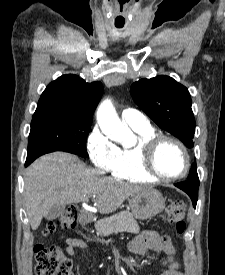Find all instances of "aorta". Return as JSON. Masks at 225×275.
<instances>
[{
    "label": "aorta",
    "instance_id": "aorta-1",
    "mask_svg": "<svg viewBox=\"0 0 225 275\" xmlns=\"http://www.w3.org/2000/svg\"><path fill=\"white\" fill-rule=\"evenodd\" d=\"M97 122L101 131L111 140L124 147L135 145V135L127 124L123 123L110 99H105L98 107Z\"/></svg>",
    "mask_w": 225,
    "mask_h": 275
}]
</instances>
